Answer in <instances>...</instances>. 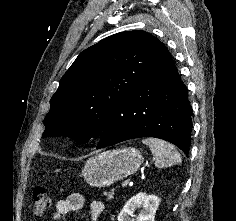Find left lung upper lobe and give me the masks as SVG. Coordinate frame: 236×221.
I'll return each instance as SVG.
<instances>
[{"label":"left lung upper lobe","mask_w":236,"mask_h":221,"mask_svg":"<svg viewBox=\"0 0 236 221\" xmlns=\"http://www.w3.org/2000/svg\"><path fill=\"white\" fill-rule=\"evenodd\" d=\"M164 49L154 36L134 30L110 36L81 52L50 100L43 136L65 135L79 143L99 136Z\"/></svg>","instance_id":"obj_1"}]
</instances>
